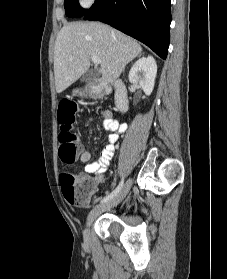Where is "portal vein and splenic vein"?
Masks as SVG:
<instances>
[{
	"label": "portal vein and splenic vein",
	"mask_w": 227,
	"mask_h": 279,
	"mask_svg": "<svg viewBox=\"0 0 227 279\" xmlns=\"http://www.w3.org/2000/svg\"><path fill=\"white\" fill-rule=\"evenodd\" d=\"M91 60H92V62H93L95 65H98V64L101 63L100 58L97 57V56H92V57H91Z\"/></svg>",
	"instance_id": "portal-vein-and-splenic-vein-1"
}]
</instances>
